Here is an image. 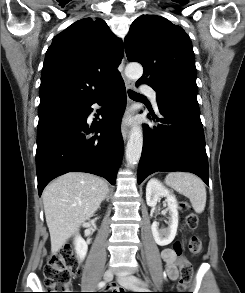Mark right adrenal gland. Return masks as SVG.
Listing matches in <instances>:
<instances>
[{"label": "right adrenal gland", "instance_id": "1", "mask_svg": "<svg viewBox=\"0 0 245 293\" xmlns=\"http://www.w3.org/2000/svg\"><path fill=\"white\" fill-rule=\"evenodd\" d=\"M110 198V191L108 192L107 196H106V201H109Z\"/></svg>", "mask_w": 245, "mask_h": 293}]
</instances>
